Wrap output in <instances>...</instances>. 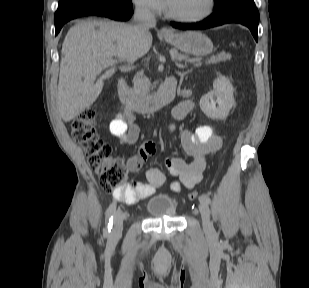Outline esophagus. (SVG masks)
<instances>
[{
	"mask_svg": "<svg viewBox=\"0 0 309 288\" xmlns=\"http://www.w3.org/2000/svg\"><path fill=\"white\" fill-rule=\"evenodd\" d=\"M160 32L164 35H169L171 34V31L167 27H162Z\"/></svg>",
	"mask_w": 309,
	"mask_h": 288,
	"instance_id": "1",
	"label": "esophagus"
}]
</instances>
